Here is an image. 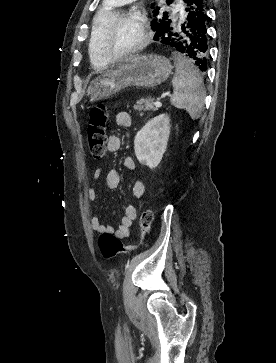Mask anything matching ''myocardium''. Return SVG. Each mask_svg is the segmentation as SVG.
Instances as JSON below:
<instances>
[{"mask_svg":"<svg viewBox=\"0 0 276 363\" xmlns=\"http://www.w3.org/2000/svg\"><path fill=\"white\" fill-rule=\"evenodd\" d=\"M127 20L134 21L140 26L141 38H140L139 42L134 47L129 49L128 51H126L120 55H111L108 52L107 48L105 47L104 38H105L106 34L114 26H116L118 23H120L122 21H127ZM150 37H151L150 27H149L147 18L144 15H142L138 12H133V11H123V12L115 13V15L110 19V21L102 29V31L100 33V37H99V48H100L102 55L108 62H110V63L119 62V61L125 60V59L132 57L135 54L141 52L149 43Z\"/></svg>","mask_w":276,"mask_h":363,"instance_id":"1","label":"myocardium"}]
</instances>
